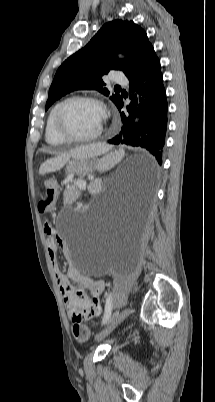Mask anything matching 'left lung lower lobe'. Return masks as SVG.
Segmentation results:
<instances>
[{
    "mask_svg": "<svg viewBox=\"0 0 215 402\" xmlns=\"http://www.w3.org/2000/svg\"><path fill=\"white\" fill-rule=\"evenodd\" d=\"M130 91L142 95L137 107V100L130 96L131 103L127 106L128 114L121 113L122 128L118 135L108 142L111 144H126L139 146L148 150L155 158V163L145 171L144 177L154 175L157 163L162 164V151L165 144L168 104L163 85V76L158 57L151 59L138 72L128 77ZM123 99L116 105L120 111ZM140 114V121L134 123V118Z\"/></svg>",
    "mask_w": 215,
    "mask_h": 402,
    "instance_id": "obj_1",
    "label": "left lung lower lobe"
}]
</instances>
